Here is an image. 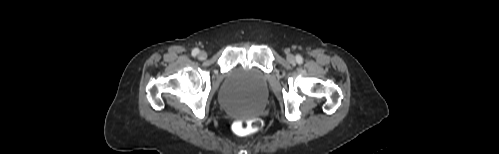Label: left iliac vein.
<instances>
[{
  "label": "left iliac vein",
  "mask_w": 499,
  "mask_h": 154,
  "mask_svg": "<svg viewBox=\"0 0 499 154\" xmlns=\"http://www.w3.org/2000/svg\"><path fill=\"white\" fill-rule=\"evenodd\" d=\"M287 59L289 62L294 63L295 62V57L292 54L287 55Z\"/></svg>",
  "instance_id": "4c4485c4"
}]
</instances>
